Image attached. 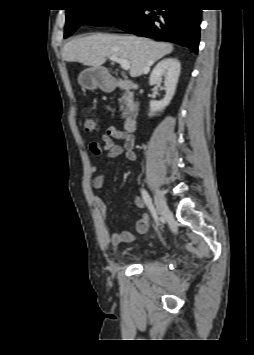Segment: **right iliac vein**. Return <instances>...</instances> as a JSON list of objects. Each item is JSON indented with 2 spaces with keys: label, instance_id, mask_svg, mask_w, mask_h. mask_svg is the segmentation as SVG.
<instances>
[{
  "label": "right iliac vein",
  "instance_id": "63e3f726",
  "mask_svg": "<svg viewBox=\"0 0 254 355\" xmlns=\"http://www.w3.org/2000/svg\"><path fill=\"white\" fill-rule=\"evenodd\" d=\"M154 200L156 205V210L160 216H167L169 214L166 199L159 189L154 190Z\"/></svg>",
  "mask_w": 254,
  "mask_h": 355
}]
</instances>
